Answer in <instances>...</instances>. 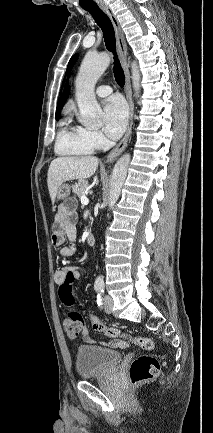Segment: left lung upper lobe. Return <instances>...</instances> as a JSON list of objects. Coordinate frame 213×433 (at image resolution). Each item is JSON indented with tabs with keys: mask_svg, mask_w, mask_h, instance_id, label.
I'll use <instances>...</instances> for the list:
<instances>
[{
	"mask_svg": "<svg viewBox=\"0 0 213 433\" xmlns=\"http://www.w3.org/2000/svg\"><path fill=\"white\" fill-rule=\"evenodd\" d=\"M77 58H78V54H75V55L72 56V58L70 59V61L68 63L66 74L71 70V68L73 67V65L76 62Z\"/></svg>",
	"mask_w": 213,
	"mask_h": 433,
	"instance_id": "obj_1",
	"label": "left lung upper lobe"
}]
</instances>
